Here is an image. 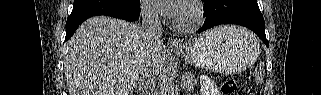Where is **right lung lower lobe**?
I'll use <instances>...</instances> for the list:
<instances>
[{"mask_svg": "<svg viewBox=\"0 0 321 95\" xmlns=\"http://www.w3.org/2000/svg\"><path fill=\"white\" fill-rule=\"evenodd\" d=\"M97 15H106V16H111L118 19H124L127 21H135L139 18L140 9L128 14L109 12V11H88V12H81V13H73L67 19L65 41H67L74 34L76 29L82 22H84L86 19L92 16H97Z\"/></svg>", "mask_w": 321, "mask_h": 95, "instance_id": "right-lung-lower-lobe-1", "label": "right lung lower lobe"}]
</instances>
